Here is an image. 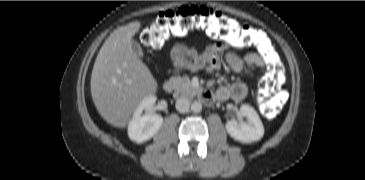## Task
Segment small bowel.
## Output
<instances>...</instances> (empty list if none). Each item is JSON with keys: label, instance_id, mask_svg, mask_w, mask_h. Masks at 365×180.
Wrapping results in <instances>:
<instances>
[{"label": "small bowel", "instance_id": "c3829d8e", "mask_svg": "<svg viewBox=\"0 0 365 180\" xmlns=\"http://www.w3.org/2000/svg\"><path fill=\"white\" fill-rule=\"evenodd\" d=\"M252 32L259 39L257 32ZM222 54L225 63L236 74L241 73L246 68L265 69L266 67L265 60L260 54L249 52L239 56L235 52L227 50V46L222 43L210 44L203 50L176 44L168 50V56L174 67L208 73L216 71L221 67L220 57ZM247 93L248 88L245 83L235 82L218 88L214 97L220 100L232 99L240 101L245 98Z\"/></svg>", "mask_w": 365, "mask_h": 180}]
</instances>
